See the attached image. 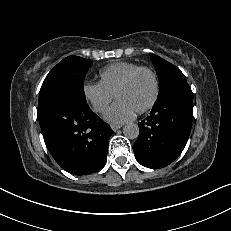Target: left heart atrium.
Masks as SVG:
<instances>
[{"instance_id": "obj_1", "label": "left heart atrium", "mask_w": 231, "mask_h": 231, "mask_svg": "<svg viewBox=\"0 0 231 231\" xmlns=\"http://www.w3.org/2000/svg\"><path fill=\"white\" fill-rule=\"evenodd\" d=\"M136 110L125 101L118 99L107 110L105 118L112 123H120L135 116Z\"/></svg>"}]
</instances>
